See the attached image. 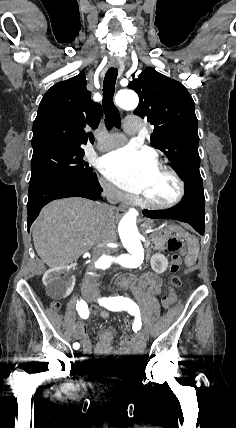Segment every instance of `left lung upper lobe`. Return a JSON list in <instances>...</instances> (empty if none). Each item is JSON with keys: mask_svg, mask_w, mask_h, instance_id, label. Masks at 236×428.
<instances>
[{"mask_svg": "<svg viewBox=\"0 0 236 428\" xmlns=\"http://www.w3.org/2000/svg\"><path fill=\"white\" fill-rule=\"evenodd\" d=\"M128 87L140 102L134 114L155 126L151 146L161 150L185 183L202 182L197 118L186 88L155 69L146 68Z\"/></svg>", "mask_w": 236, "mask_h": 428, "instance_id": "left-lung-upper-lobe-1", "label": "left lung upper lobe"}]
</instances>
